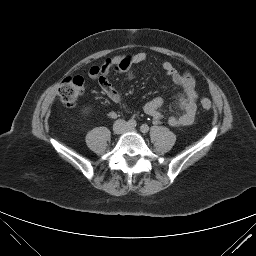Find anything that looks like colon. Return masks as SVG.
I'll use <instances>...</instances> for the list:
<instances>
[{"instance_id":"5ec220e1","label":"colon","mask_w":256,"mask_h":256,"mask_svg":"<svg viewBox=\"0 0 256 256\" xmlns=\"http://www.w3.org/2000/svg\"><path fill=\"white\" fill-rule=\"evenodd\" d=\"M89 74L93 78H99L101 75V66L91 67ZM84 80L80 76H73L64 79L59 88V97L61 102L68 107L74 106L84 93ZM204 110H210L212 103L209 99L203 98L200 102Z\"/></svg>"}]
</instances>
